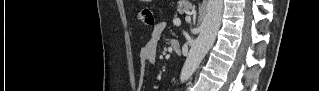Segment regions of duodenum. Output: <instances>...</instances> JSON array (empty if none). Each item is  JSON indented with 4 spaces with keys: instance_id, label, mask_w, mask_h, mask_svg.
I'll list each match as a JSON object with an SVG mask.
<instances>
[{
    "instance_id": "1",
    "label": "duodenum",
    "mask_w": 319,
    "mask_h": 91,
    "mask_svg": "<svg viewBox=\"0 0 319 91\" xmlns=\"http://www.w3.org/2000/svg\"><path fill=\"white\" fill-rule=\"evenodd\" d=\"M170 46L173 52H175L176 54L180 53V43L177 40L175 39L171 40Z\"/></svg>"
}]
</instances>
